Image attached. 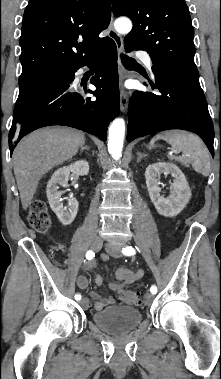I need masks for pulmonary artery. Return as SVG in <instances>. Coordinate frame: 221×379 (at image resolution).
<instances>
[{"instance_id":"pulmonary-artery-1","label":"pulmonary artery","mask_w":221,"mask_h":379,"mask_svg":"<svg viewBox=\"0 0 221 379\" xmlns=\"http://www.w3.org/2000/svg\"><path fill=\"white\" fill-rule=\"evenodd\" d=\"M136 57L139 58L140 60H142L144 62V64L146 65V67L151 70L152 60H151V57L147 53L137 52Z\"/></svg>"}]
</instances>
